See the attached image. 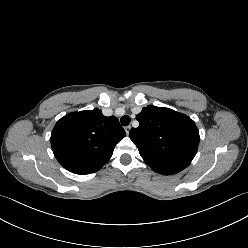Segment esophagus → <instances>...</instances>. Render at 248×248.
<instances>
[{
	"label": "esophagus",
	"mask_w": 248,
	"mask_h": 248,
	"mask_svg": "<svg viewBox=\"0 0 248 248\" xmlns=\"http://www.w3.org/2000/svg\"><path fill=\"white\" fill-rule=\"evenodd\" d=\"M124 129H125L126 134H129V131H130L131 127L130 126H126Z\"/></svg>",
	"instance_id": "esophagus-1"
}]
</instances>
